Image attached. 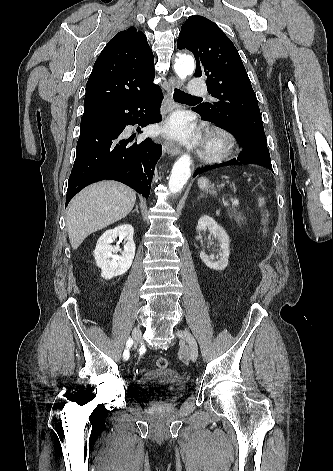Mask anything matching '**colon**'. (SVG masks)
Segmentation results:
<instances>
[{
	"mask_svg": "<svg viewBox=\"0 0 333 471\" xmlns=\"http://www.w3.org/2000/svg\"><path fill=\"white\" fill-rule=\"evenodd\" d=\"M264 233L267 232V220L263 219ZM159 368L164 369L168 367V360L165 357H159L156 361Z\"/></svg>",
	"mask_w": 333,
	"mask_h": 471,
	"instance_id": "1",
	"label": "colon"
}]
</instances>
